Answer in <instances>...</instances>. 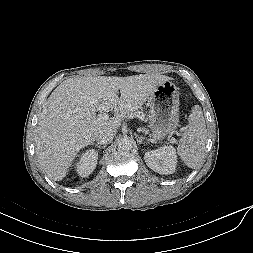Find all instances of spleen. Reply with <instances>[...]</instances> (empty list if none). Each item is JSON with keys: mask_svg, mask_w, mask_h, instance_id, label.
Wrapping results in <instances>:
<instances>
[{"mask_svg": "<svg viewBox=\"0 0 253 253\" xmlns=\"http://www.w3.org/2000/svg\"><path fill=\"white\" fill-rule=\"evenodd\" d=\"M188 123L177 150L184 163L195 169L203 164L207 143L206 124L199 105L192 107Z\"/></svg>", "mask_w": 253, "mask_h": 253, "instance_id": "spleen-1", "label": "spleen"}]
</instances>
